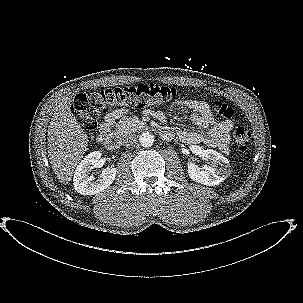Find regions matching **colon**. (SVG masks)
<instances>
[{
  "instance_id": "5ec220e1",
  "label": "colon",
  "mask_w": 303,
  "mask_h": 303,
  "mask_svg": "<svg viewBox=\"0 0 303 303\" xmlns=\"http://www.w3.org/2000/svg\"><path fill=\"white\" fill-rule=\"evenodd\" d=\"M177 97L174 87L157 84H137L132 86L107 88L100 91L78 94L72 103V112L88 131L98 127L99 118L117 107L145 109L172 101ZM213 109L223 119H231L233 110L222 102H215ZM234 142L239 152L244 153L250 143V133L243 127L233 132Z\"/></svg>"
}]
</instances>
